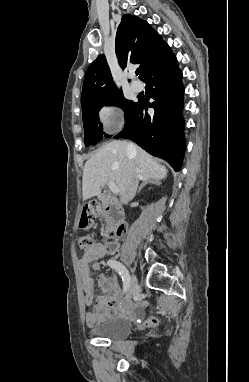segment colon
<instances>
[{"mask_svg": "<svg viewBox=\"0 0 249 382\" xmlns=\"http://www.w3.org/2000/svg\"><path fill=\"white\" fill-rule=\"evenodd\" d=\"M101 214V208L97 203H91L83 207L80 217L79 226L83 229L92 227L95 223L96 218ZM121 228L118 229H107L104 232V240L107 244L112 243L116 237L121 236ZM94 244V241L91 236L84 235L81 236L79 239V245L80 247L86 251L89 250L92 245ZM157 319L155 317H150L147 320L148 325H156Z\"/></svg>", "mask_w": 249, "mask_h": 382, "instance_id": "colon-1", "label": "colon"}]
</instances>
